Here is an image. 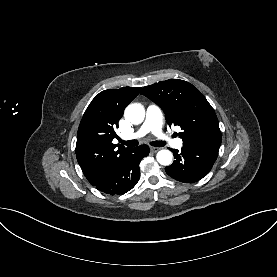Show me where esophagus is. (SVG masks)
I'll use <instances>...</instances> for the list:
<instances>
[{
	"mask_svg": "<svg viewBox=\"0 0 277 277\" xmlns=\"http://www.w3.org/2000/svg\"><path fill=\"white\" fill-rule=\"evenodd\" d=\"M150 150L152 151V152H158L159 150H160V148H158V147H151L150 148Z\"/></svg>",
	"mask_w": 277,
	"mask_h": 277,
	"instance_id": "1",
	"label": "esophagus"
}]
</instances>
